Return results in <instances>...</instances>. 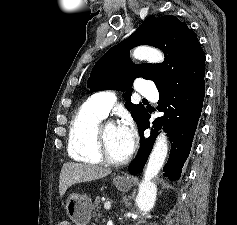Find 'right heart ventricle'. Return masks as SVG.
<instances>
[{
  "label": "right heart ventricle",
  "mask_w": 237,
  "mask_h": 225,
  "mask_svg": "<svg viewBox=\"0 0 237 225\" xmlns=\"http://www.w3.org/2000/svg\"><path fill=\"white\" fill-rule=\"evenodd\" d=\"M105 117L92 99L85 101L74 115L69 126L68 153L78 162L99 164L95 141V129Z\"/></svg>",
  "instance_id": "e07e8e85"
}]
</instances>
